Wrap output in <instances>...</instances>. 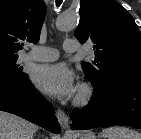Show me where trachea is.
<instances>
[{
	"label": "trachea",
	"mask_w": 141,
	"mask_h": 139,
	"mask_svg": "<svg viewBox=\"0 0 141 139\" xmlns=\"http://www.w3.org/2000/svg\"><path fill=\"white\" fill-rule=\"evenodd\" d=\"M62 1H63V0H56V5H57V7L60 6V4L62 3Z\"/></svg>",
	"instance_id": "3493384b"
}]
</instances>
